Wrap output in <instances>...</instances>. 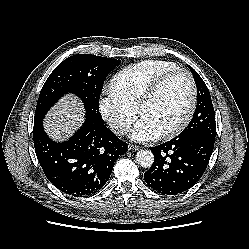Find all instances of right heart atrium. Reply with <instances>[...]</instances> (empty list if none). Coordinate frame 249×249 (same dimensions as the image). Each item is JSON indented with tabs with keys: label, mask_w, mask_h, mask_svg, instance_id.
<instances>
[{
	"label": "right heart atrium",
	"mask_w": 249,
	"mask_h": 249,
	"mask_svg": "<svg viewBox=\"0 0 249 249\" xmlns=\"http://www.w3.org/2000/svg\"><path fill=\"white\" fill-rule=\"evenodd\" d=\"M99 112L115 133L126 132L137 117V110L119 98L111 89L99 99Z\"/></svg>",
	"instance_id": "1"
}]
</instances>
